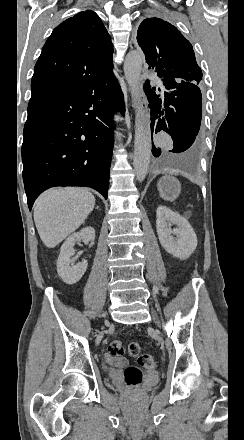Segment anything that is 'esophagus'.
Instances as JSON below:
<instances>
[{"label":"esophagus","instance_id":"obj_1","mask_svg":"<svg viewBox=\"0 0 244 440\" xmlns=\"http://www.w3.org/2000/svg\"><path fill=\"white\" fill-rule=\"evenodd\" d=\"M132 105L137 111L138 119L142 122L145 131L148 133L150 127V115L148 112V104L144 95H140L139 99L136 101L133 100Z\"/></svg>","mask_w":244,"mask_h":440}]
</instances>
